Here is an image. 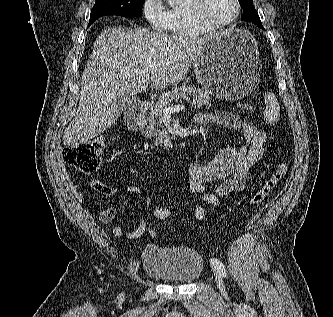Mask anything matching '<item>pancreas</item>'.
Wrapping results in <instances>:
<instances>
[{
    "instance_id": "obj_1",
    "label": "pancreas",
    "mask_w": 333,
    "mask_h": 317,
    "mask_svg": "<svg viewBox=\"0 0 333 317\" xmlns=\"http://www.w3.org/2000/svg\"><path fill=\"white\" fill-rule=\"evenodd\" d=\"M191 97L192 107L200 108L203 105H209L211 99L209 93L203 89L196 88L191 85H182L175 87L172 91H168L162 94L158 102L155 103L149 112V125L143 131L144 135L148 139H153L156 145H170L173 136L168 133L166 128L162 126L163 109L165 106H170L172 101H178L179 98ZM162 127V130L160 128Z\"/></svg>"
}]
</instances>
